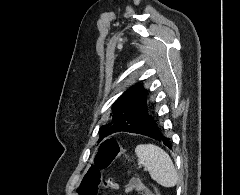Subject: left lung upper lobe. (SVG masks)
Segmentation results:
<instances>
[{
  "label": "left lung upper lobe",
  "mask_w": 240,
  "mask_h": 195,
  "mask_svg": "<svg viewBox=\"0 0 240 195\" xmlns=\"http://www.w3.org/2000/svg\"><path fill=\"white\" fill-rule=\"evenodd\" d=\"M147 91L142 85L127 90L112 106V122L101 126L100 138L122 131L128 124L147 108Z\"/></svg>",
  "instance_id": "1"
}]
</instances>
